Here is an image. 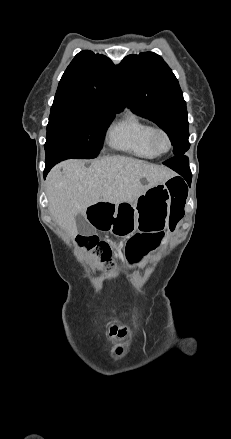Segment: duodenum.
<instances>
[{
	"instance_id": "1",
	"label": "duodenum",
	"mask_w": 231,
	"mask_h": 439,
	"mask_svg": "<svg viewBox=\"0 0 231 439\" xmlns=\"http://www.w3.org/2000/svg\"><path fill=\"white\" fill-rule=\"evenodd\" d=\"M109 207H110L109 203H98V204L94 205V207H93L94 208V214L92 216V220L93 221H101V220H103V218L106 215H108Z\"/></svg>"
}]
</instances>
